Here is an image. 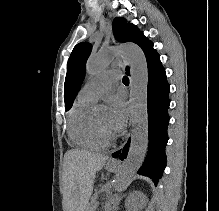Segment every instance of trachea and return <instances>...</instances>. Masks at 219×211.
<instances>
[{
	"label": "trachea",
	"instance_id": "1",
	"mask_svg": "<svg viewBox=\"0 0 219 211\" xmlns=\"http://www.w3.org/2000/svg\"><path fill=\"white\" fill-rule=\"evenodd\" d=\"M123 83L128 85L129 84V78L127 76L123 77Z\"/></svg>",
	"mask_w": 219,
	"mask_h": 211
}]
</instances>
